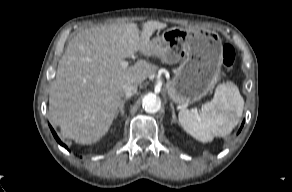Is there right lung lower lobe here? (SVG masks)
<instances>
[{
  "label": "right lung lower lobe",
  "instance_id": "right-lung-lower-lobe-1",
  "mask_svg": "<svg viewBox=\"0 0 292 192\" xmlns=\"http://www.w3.org/2000/svg\"><path fill=\"white\" fill-rule=\"evenodd\" d=\"M50 129H51V131H52V133H53L55 139L57 140V142H58L60 145H62L63 147L67 148V146H66L65 144H63V143L60 141V139L58 138L57 134L55 133V131L53 130V128L51 127V125H50Z\"/></svg>",
  "mask_w": 292,
  "mask_h": 192
}]
</instances>
